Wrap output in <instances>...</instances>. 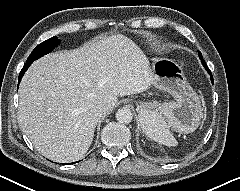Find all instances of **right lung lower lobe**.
I'll return each instance as SVG.
<instances>
[{
  "label": "right lung lower lobe",
  "instance_id": "obj_1",
  "mask_svg": "<svg viewBox=\"0 0 240 191\" xmlns=\"http://www.w3.org/2000/svg\"><path fill=\"white\" fill-rule=\"evenodd\" d=\"M31 65V63L29 62H27V63H25L24 64V66H23V68H22V70H21V72H20V74H19V78H18V83L21 81V79H22V76L24 75V73H25V71L28 69V67ZM19 85V84H18ZM79 162V161H78Z\"/></svg>",
  "mask_w": 240,
  "mask_h": 191
}]
</instances>
